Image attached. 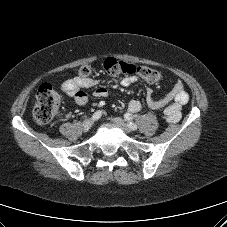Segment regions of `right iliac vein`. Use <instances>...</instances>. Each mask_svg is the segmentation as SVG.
<instances>
[{
	"instance_id": "1",
	"label": "right iliac vein",
	"mask_w": 227,
	"mask_h": 227,
	"mask_svg": "<svg viewBox=\"0 0 227 227\" xmlns=\"http://www.w3.org/2000/svg\"><path fill=\"white\" fill-rule=\"evenodd\" d=\"M93 121L91 119H87L83 122L82 124V129L84 132H87L88 130H90L93 127Z\"/></svg>"
}]
</instances>
